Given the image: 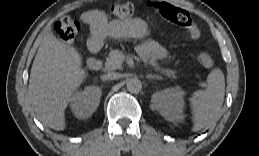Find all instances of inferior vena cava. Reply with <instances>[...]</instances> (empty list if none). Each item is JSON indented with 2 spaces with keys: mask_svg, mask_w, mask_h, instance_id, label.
Segmentation results:
<instances>
[{
  "mask_svg": "<svg viewBox=\"0 0 259 156\" xmlns=\"http://www.w3.org/2000/svg\"><path fill=\"white\" fill-rule=\"evenodd\" d=\"M120 78V74L119 73H115V72H110L107 73L105 75L102 76L103 80H116Z\"/></svg>",
  "mask_w": 259,
  "mask_h": 156,
  "instance_id": "obj_1",
  "label": "inferior vena cava"
}]
</instances>
